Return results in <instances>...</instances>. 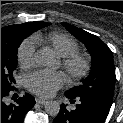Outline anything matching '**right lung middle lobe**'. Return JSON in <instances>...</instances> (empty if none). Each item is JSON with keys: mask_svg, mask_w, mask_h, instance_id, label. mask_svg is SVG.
<instances>
[{"mask_svg": "<svg viewBox=\"0 0 123 123\" xmlns=\"http://www.w3.org/2000/svg\"><path fill=\"white\" fill-rule=\"evenodd\" d=\"M50 23L36 21L20 24L8 34L1 36V88H13L14 70L17 66V50L21 42L33 32Z\"/></svg>", "mask_w": 123, "mask_h": 123, "instance_id": "right-lung-middle-lobe-1", "label": "right lung middle lobe"}]
</instances>
